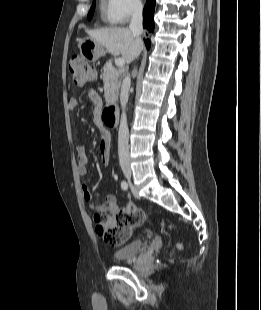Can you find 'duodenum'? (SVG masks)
I'll return each mask as SVG.
<instances>
[{"label":"duodenum","instance_id":"1","mask_svg":"<svg viewBox=\"0 0 261 310\" xmlns=\"http://www.w3.org/2000/svg\"><path fill=\"white\" fill-rule=\"evenodd\" d=\"M102 121L108 127H114L117 122V106L110 104L102 111Z\"/></svg>","mask_w":261,"mask_h":310}]
</instances>
